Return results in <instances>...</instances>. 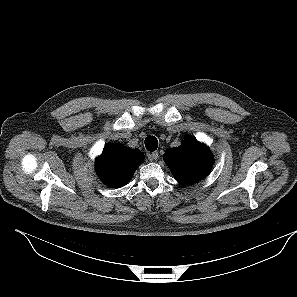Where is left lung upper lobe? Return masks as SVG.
<instances>
[{
	"label": "left lung upper lobe",
	"mask_w": 297,
	"mask_h": 297,
	"mask_svg": "<svg viewBox=\"0 0 297 297\" xmlns=\"http://www.w3.org/2000/svg\"><path fill=\"white\" fill-rule=\"evenodd\" d=\"M163 158L183 186L201 181L213 165L209 148L191 137L185 138L181 146L168 149Z\"/></svg>",
	"instance_id": "obj_1"
}]
</instances>
